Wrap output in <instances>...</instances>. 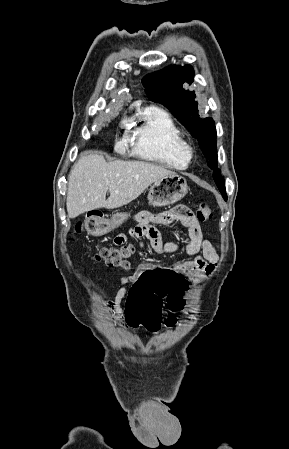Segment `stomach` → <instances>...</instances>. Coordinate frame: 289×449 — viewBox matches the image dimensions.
Returning <instances> with one entry per match:
<instances>
[{
	"label": "stomach",
	"mask_w": 289,
	"mask_h": 449,
	"mask_svg": "<svg viewBox=\"0 0 289 449\" xmlns=\"http://www.w3.org/2000/svg\"><path fill=\"white\" fill-rule=\"evenodd\" d=\"M188 193V184L180 175H169L153 183L148 193L149 204L161 207L174 204ZM130 217V213H116L111 219L104 217H89L85 222L88 234L92 236H103L114 228L120 226Z\"/></svg>",
	"instance_id": "1"
}]
</instances>
